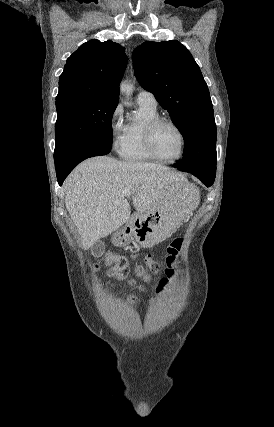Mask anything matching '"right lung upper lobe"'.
<instances>
[{
  "mask_svg": "<svg viewBox=\"0 0 274 427\" xmlns=\"http://www.w3.org/2000/svg\"><path fill=\"white\" fill-rule=\"evenodd\" d=\"M128 58L112 41L90 40L68 59L59 78L56 106L91 98H118Z\"/></svg>",
  "mask_w": 274,
  "mask_h": 427,
  "instance_id": "1",
  "label": "right lung upper lobe"
}]
</instances>
